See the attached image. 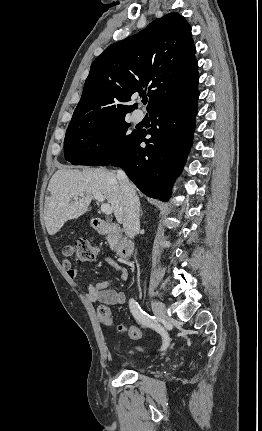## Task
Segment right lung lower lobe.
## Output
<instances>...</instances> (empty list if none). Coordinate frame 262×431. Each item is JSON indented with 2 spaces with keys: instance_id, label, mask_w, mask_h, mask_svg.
I'll list each match as a JSON object with an SVG mask.
<instances>
[{
  "instance_id": "obj_1",
  "label": "right lung lower lobe",
  "mask_w": 262,
  "mask_h": 431,
  "mask_svg": "<svg viewBox=\"0 0 262 431\" xmlns=\"http://www.w3.org/2000/svg\"><path fill=\"white\" fill-rule=\"evenodd\" d=\"M197 88L182 99L173 100L150 112L152 127L139 131L112 163L122 167L147 196L166 201L181 172L192 144L197 113ZM147 134L151 138L145 139ZM146 147L140 146L141 142Z\"/></svg>"
}]
</instances>
